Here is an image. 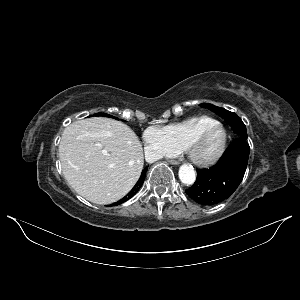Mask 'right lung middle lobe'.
I'll return each instance as SVG.
<instances>
[{
	"label": "right lung middle lobe",
	"mask_w": 300,
	"mask_h": 300,
	"mask_svg": "<svg viewBox=\"0 0 300 300\" xmlns=\"http://www.w3.org/2000/svg\"><path fill=\"white\" fill-rule=\"evenodd\" d=\"M95 116H106V117L115 118V117H113V116H111L109 114H105V113H97V114H95Z\"/></svg>",
	"instance_id": "1"
}]
</instances>
